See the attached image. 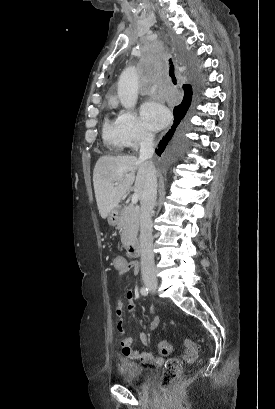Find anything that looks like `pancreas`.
Returning <instances> with one entry per match:
<instances>
[{"instance_id":"pancreas-1","label":"pancreas","mask_w":275,"mask_h":409,"mask_svg":"<svg viewBox=\"0 0 275 409\" xmlns=\"http://www.w3.org/2000/svg\"><path fill=\"white\" fill-rule=\"evenodd\" d=\"M139 207L135 205H128L121 211L120 221L118 227H123L124 231L121 233L122 247L128 249L132 245V241L136 239L139 231Z\"/></svg>"}]
</instances>
